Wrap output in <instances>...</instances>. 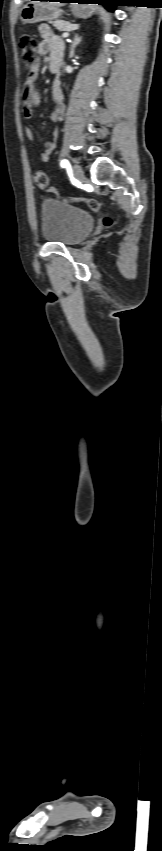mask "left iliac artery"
Returning a JSON list of instances; mask_svg holds the SVG:
<instances>
[{
	"mask_svg": "<svg viewBox=\"0 0 162 851\" xmlns=\"http://www.w3.org/2000/svg\"><path fill=\"white\" fill-rule=\"evenodd\" d=\"M60 165H61V167H63V168H66V167H69V166H70L69 161H68V160H66V159L62 160Z\"/></svg>",
	"mask_w": 162,
	"mask_h": 851,
	"instance_id": "44dca946",
	"label": "left iliac artery"
}]
</instances>
